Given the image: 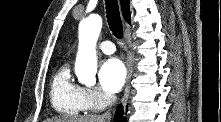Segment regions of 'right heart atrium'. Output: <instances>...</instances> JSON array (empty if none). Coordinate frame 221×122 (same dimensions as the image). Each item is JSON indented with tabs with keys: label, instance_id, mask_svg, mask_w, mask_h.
<instances>
[{
	"label": "right heart atrium",
	"instance_id": "right-heart-atrium-1",
	"mask_svg": "<svg viewBox=\"0 0 221 122\" xmlns=\"http://www.w3.org/2000/svg\"><path fill=\"white\" fill-rule=\"evenodd\" d=\"M83 99L88 110H100L112 101L110 96L96 88H83Z\"/></svg>",
	"mask_w": 221,
	"mask_h": 122
}]
</instances>
